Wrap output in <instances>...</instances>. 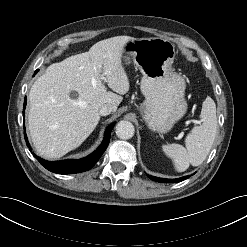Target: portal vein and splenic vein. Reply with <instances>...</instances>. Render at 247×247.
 Here are the masks:
<instances>
[{
	"label": "portal vein and splenic vein",
	"mask_w": 247,
	"mask_h": 247,
	"mask_svg": "<svg viewBox=\"0 0 247 247\" xmlns=\"http://www.w3.org/2000/svg\"><path fill=\"white\" fill-rule=\"evenodd\" d=\"M102 79H104V78L102 77ZM194 123L199 124V123H200V121L195 120V121H194Z\"/></svg>",
	"instance_id": "portal-vein-and-splenic-vein-1"
}]
</instances>
